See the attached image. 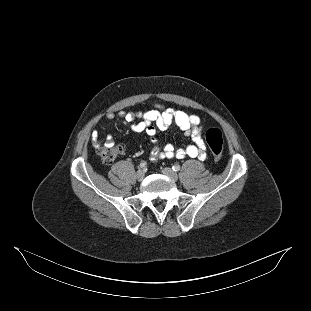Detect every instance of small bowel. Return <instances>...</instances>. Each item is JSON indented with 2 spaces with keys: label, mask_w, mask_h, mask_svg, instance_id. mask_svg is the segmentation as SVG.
Wrapping results in <instances>:
<instances>
[{
  "label": "small bowel",
  "mask_w": 311,
  "mask_h": 311,
  "mask_svg": "<svg viewBox=\"0 0 311 311\" xmlns=\"http://www.w3.org/2000/svg\"><path fill=\"white\" fill-rule=\"evenodd\" d=\"M119 116L124 123H132L131 128L133 131L147 134L153 144L151 150V160L153 161L163 158L198 157L204 159L206 157V143L201 136L200 118L197 115H190L182 110L156 105L145 112H121ZM113 118V114H108L106 122L111 121ZM136 119L139 121L133 123ZM172 124H176L186 136L191 137L193 143L184 148H175L170 143L162 146L156 136L157 129L164 131ZM91 141L95 147H99L101 136L98 130L92 131ZM106 144L112 145L113 140L110 137L107 138Z\"/></svg>",
  "instance_id": "1"
}]
</instances>
